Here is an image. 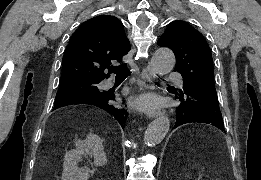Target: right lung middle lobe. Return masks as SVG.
Segmentation results:
<instances>
[{
  "label": "right lung middle lobe",
  "mask_w": 261,
  "mask_h": 180,
  "mask_svg": "<svg viewBox=\"0 0 261 180\" xmlns=\"http://www.w3.org/2000/svg\"><path fill=\"white\" fill-rule=\"evenodd\" d=\"M99 82L82 79L60 81L54 105H58L62 101L77 95L96 96L101 94L96 86Z\"/></svg>",
  "instance_id": "dd1d6c3e"
}]
</instances>
